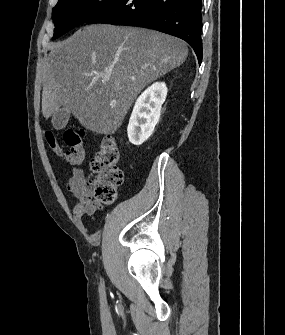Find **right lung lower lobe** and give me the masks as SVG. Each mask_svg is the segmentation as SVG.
<instances>
[{
	"label": "right lung lower lobe",
	"instance_id": "right-lung-lower-lobe-1",
	"mask_svg": "<svg viewBox=\"0 0 285 335\" xmlns=\"http://www.w3.org/2000/svg\"><path fill=\"white\" fill-rule=\"evenodd\" d=\"M202 0H118L86 23L148 27L185 40L202 61Z\"/></svg>",
	"mask_w": 285,
	"mask_h": 335
}]
</instances>
